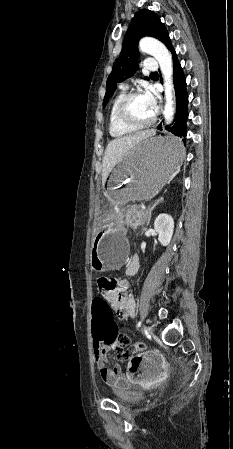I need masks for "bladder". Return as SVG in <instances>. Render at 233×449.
Returning a JSON list of instances; mask_svg holds the SVG:
<instances>
[{"label":"bladder","mask_w":233,"mask_h":449,"mask_svg":"<svg viewBox=\"0 0 233 449\" xmlns=\"http://www.w3.org/2000/svg\"><path fill=\"white\" fill-rule=\"evenodd\" d=\"M115 399L121 404L129 405L141 402L143 400V396L134 391L133 388L119 387L115 390Z\"/></svg>","instance_id":"obj_1"}]
</instances>
